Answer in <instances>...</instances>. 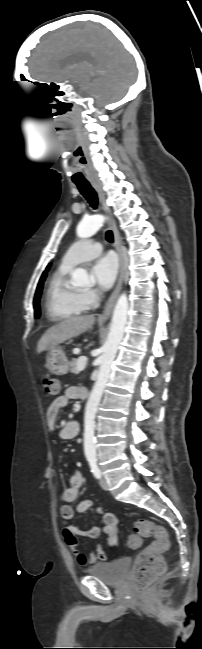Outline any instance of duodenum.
<instances>
[{"label": "duodenum", "instance_id": "410a0bca", "mask_svg": "<svg viewBox=\"0 0 202 649\" xmlns=\"http://www.w3.org/2000/svg\"><path fill=\"white\" fill-rule=\"evenodd\" d=\"M86 395H87V392L85 393L84 397H86Z\"/></svg>", "mask_w": 202, "mask_h": 649}]
</instances>
